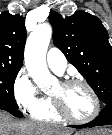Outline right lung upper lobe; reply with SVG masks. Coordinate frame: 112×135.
I'll use <instances>...</instances> for the list:
<instances>
[{
    "label": "right lung upper lobe",
    "mask_w": 112,
    "mask_h": 135,
    "mask_svg": "<svg viewBox=\"0 0 112 135\" xmlns=\"http://www.w3.org/2000/svg\"><path fill=\"white\" fill-rule=\"evenodd\" d=\"M26 41L25 19L9 12L0 14V67L21 68Z\"/></svg>",
    "instance_id": "cb5924a9"
}]
</instances>
